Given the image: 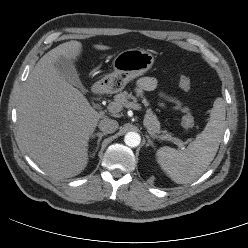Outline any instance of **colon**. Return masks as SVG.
<instances>
[{
	"instance_id": "1",
	"label": "colon",
	"mask_w": 248,
	"mask_h": 248,
	"mask_svg": "<svg viewBox=\"0 0 248 248\" xmlns=\"http://www.w3.org/2000/svg\"><path fill=\"white\" fill-rule=\"evenodd\" d=\"M179 87L183 90H189L191 83L188 77L180 76L178 81ZM194 118L190 113H187L183 116L181 125L185 130H191L194 127Z\"/></svg>"
}]
</instances>
